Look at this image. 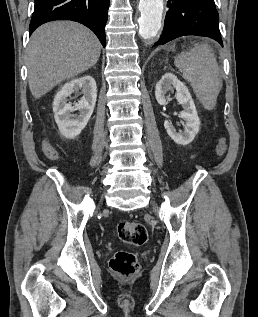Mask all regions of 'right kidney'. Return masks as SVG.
Returning <instances> with one entry per match:
<instances>
[{
  "label": "right kidney",
  "mask_w": 258,
  "mask_h": 317,
  "mask_svg": "<svg viewBox=\"0 0 258 317\" xmlns=\"http://www.w3.org/2000/svg\"><path fill=\"white\" fill-rule=\"evenodd\" d=\"M83 92V98L75 102H67V96L72 92ZM97 98V86L93 76L85 74L80 78H72L65 82L62 88L56 92L53 98L54 118L58 128L66 138H75L85 128L95 106ZM73 110H79V114H71Z\"/></svg>",
  "instance_id": "1"
}]
</instances>
